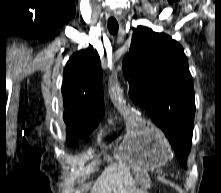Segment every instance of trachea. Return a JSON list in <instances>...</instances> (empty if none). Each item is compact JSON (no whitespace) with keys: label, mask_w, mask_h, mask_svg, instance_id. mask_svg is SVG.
<instances>
[{"label":"trachea","mask_w":221,"mask_h":193,"mask_svg":"<svg viewBox=\"0 0 221 193\" xmlns=\"http://www.w3.org/2000/svg\"><path fill=\"white\" fill-rule=\"evenodd\" d=\"M118 22L114 17H110L108 20V30L111 34L115 35L118 32Z\"/></svg>","instance_id":"3493384b"}]
</instances>
